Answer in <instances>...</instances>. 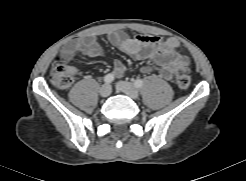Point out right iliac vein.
<instances>
[{
  "instance_id": "obj_1",
  "label": "right iliac vein",
  "mask_w": 246,
  "mask_h": 181,
  "mask_svg": "<svg viewBox=\"0 0 246 181\" xmlns=\"http://www.w3.org/2000/svg\"><path fill=\"white\" fill-rule=\"evenodd\" d=\"M99 93L102 97H108L111 93V86L109 84H104L99 90Z\"/></svg>"
}]
</instances>
